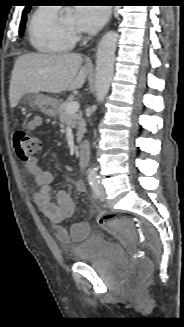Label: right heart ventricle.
Returning <instances> with one entry per match:
<instances>
[{"instance_id": "e07e8e85", "label": "right heart ventricle", "mask_w": 184, "mask_h": 327, "mask_svg": "<svg viewBox=\"0 0 184 327\" xmlns=\"http://www.w3.org/2000/svg\"><path fill=\"white\" fill-rule=\"evenodd\" d=\"M28 37L38 51L49 54L67 52L74 46V37L64 32L58 22V8L38 7L28 23Z\"/></svg>"}]
</instances>
